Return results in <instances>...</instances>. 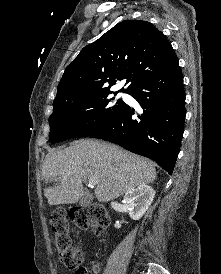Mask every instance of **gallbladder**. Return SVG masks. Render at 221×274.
Wrapping results in <instances>:
<instances>
[{"label":"gallbladder","mask_w":221,"mask_h":274,"mask_svg":"<svg viewBox=\"0 0 221 274\" xmlns=\"http://www.w3.org/2000/svg\"><path fill=\"white\" fill-rule=\"evenodd\" d=\"M91 201H92L91 195L88 192H86L80 199L79 204L81 206H88L91 203Z\"/></svg>","instance_id":"bac80fb5"}]
</instances>
